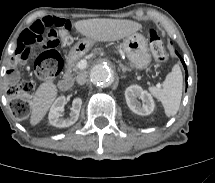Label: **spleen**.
<instances>
[{
    "label": "spleen",
    "mask_w": 215,
    "mask_h": 183,
    "mask_svg": "<svg viewBox=\"0 0 215 183\" xmlns=\"http://www.w3.org/2000/svg\"><path fill=\"white\" fill-rule=\"evenodd\" d=\"M182 84L183 77L180 66L175 64L163 81L162 87H149L150 93L162 103L168 117L178 112L182 97Z\"/></svg>",
    "instance_id": "3e777b00"
}]
</instances>
